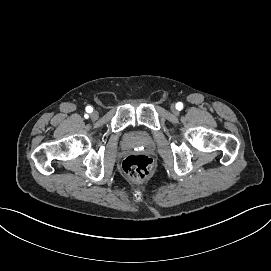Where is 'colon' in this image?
<instances>
[{
    "label": "colon",
    "instance_id": "1",
    "mask_svg": "<svg viewBox=\"0 0 271 271\" xmlns=\"http://www.w3.org/2000/svg\"><path fill=\"white\" fill-rule=\"evenodd\" d=\"M153 160L146 155H130L122 162L124 174L132 180L147 178L153 171Z\"/></svg>",
    "mask_w": 271,
    "mask_h": 271
}]
</instances>
